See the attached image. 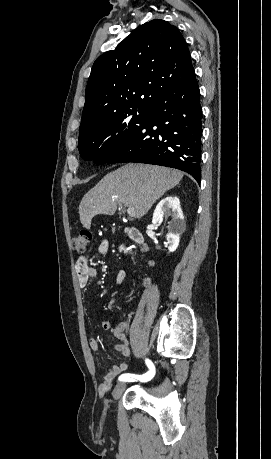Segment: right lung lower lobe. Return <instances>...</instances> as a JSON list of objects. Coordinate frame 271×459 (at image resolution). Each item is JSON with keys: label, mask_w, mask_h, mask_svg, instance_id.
<instances>
[{"label": "right lung lower lobe", "mask_w": 271, "mask_h": 459, "mask_svg": "<svg viewBox=\"0 0 271 459\" xmlns=\"http://www.w3.org/2000/svg\"><path fill=\"white\" fill-rule=\"evenodd\" d=\"M202 107L193 75L154 99L147 118L108 163L162 165L201 180Z\"/></svg>", "instance_id": "98d812e1"}]
</instances>
